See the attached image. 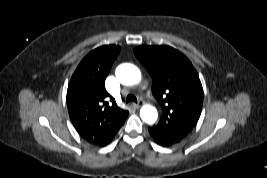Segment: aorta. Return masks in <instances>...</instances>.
Masks as SVG:
<instances>
[{"label": "aorta", "instance_id": "aorta-1", "mask_svg": "<svg viewBox=\"0 0 267 178\" xmlns=\"http://www.w3.org/2000/svg\"><path fill=\"white\" fill-rule=\"evenodd\" d=\"M117 79L124 85H134L140 82L141 72L133 64L124 63L116 69ZM141 119L148 124H153L158 117V113L155 107L151 105H145L140 110Z\"/></svg>", "mask_w": 267, "mask_h": 178}]
</instances>
